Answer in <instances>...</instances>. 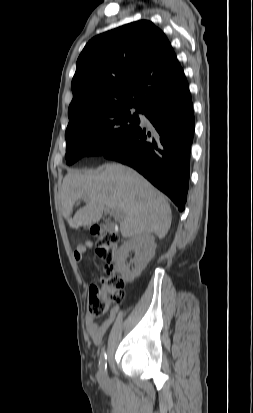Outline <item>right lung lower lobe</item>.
<instances>
[{"label": "right lung lower lobe", "instance_id": "right-lung-lower-lobe-1", "mask_svg": "<svg viewBox=\"0 0 253 413\" xmlns=\"http://www.w3.org/2000/svg\"><path fill=\"white\" fill-rule=\"evenodd\" d=\"M141 113L151 126L140 124L102 155L136 169L183 211L195 124L190 91L177 98L152 101Z\"/></svg>", "mask_w": 253, "mask_h": 413}]
</instances>
